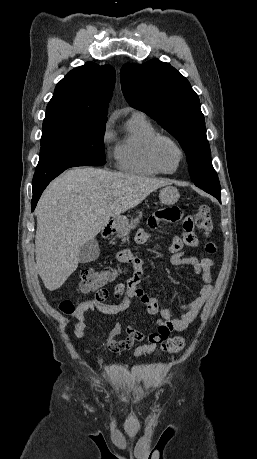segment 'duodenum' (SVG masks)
<instances>
[{"label": "duodenum", "mask_w": 257, "mask_h": 459, "mask_svg": "<svg viewBox=\"0 0 257 459\" xmlns=\"http://www.w3.org/2000/svg\"><path fill=\"white\" fill-rule=\"evenodd\" d=\"M114 228H115V222L110 223V224H109L108 226H106V227L104 228V230L102 231V236H103L104 238L109 237L110 235L113 234Z\"/></svg>", "instance_id": "obj_1"}]
</instances>
